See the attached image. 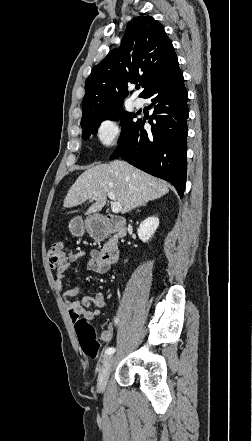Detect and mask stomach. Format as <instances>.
<instances>
[{
	"mask_svg": "<svg viewBox=\"0 0 252 441\" xmlns=\"http://www.w3.org/2000/svg\"><path fill=\"white\" fill-rule=\"evenodd\" d=\"M93 222H94V219L92 217H88L85 220H83L82 217L77 216V217H74L70 221L69 228H70L71 233L77 237L82 236L85 231L92 234L93 233Z\"/></svg>",
	"mask_w": 252,
	"mask_h": 441,
	"instance_id": "stomach-1",
	"label": "stomach"
}]
</instances>
